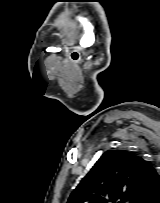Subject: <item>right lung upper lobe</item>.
I'll return each mask as SVG.
<instances>
[{"label": "right lung upper lobe", "instance_id": "1", "mask_svg": "<svg viewBox=\"0 0 160 203\" xmlns=\"http://www.w3.org/2000/svg\"><path fill=\"white\" fill-rule=\"evenodd\" d=\"M160 196V175L141 157L109 150L95 163L67 203H150Z\"/></svg>", "mask_w": 160, "mask_h": 203}]
</instances>
